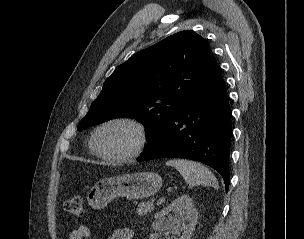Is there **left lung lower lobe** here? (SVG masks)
<instances>
[{"label":"left lung lower lobe","mask_w":304,"mask_h":239,"mask_svg":"<svg viewBox=\"0 0 304 239\" xmlns=\"http://www.w3.org/2000/svg\"><path fill=\"white\" fill-rule=\"evenodd\" d=\"M231 135L228 94L215 65L179 108L168 128L137 160L178 157L205 163L221 174L228 191Z\"/></svg>","instance_id":"1"}]
</instances>
